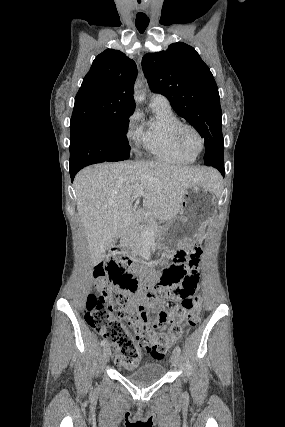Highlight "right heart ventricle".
<instances>
[{
  "label": "right heart ventricle",
  "mask_w": 285,
  "mask_h": 427,
  "mask_svg": "<svg viewBox=\"0 0 285 427\" xmlns=\"http://www.w3.org/2000/svg\"><path fill=\"white\" fill-rule=\"evenodd\" d=\"M152 116L143 120L137 138L142 146L157 160L175 163H192L195 156L183 152L176 144L173 129L181 121L169 104H150Z\"/></svg>",
  "instance_id": "e07e8e85"
}]
</instances>
